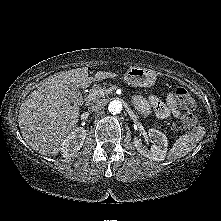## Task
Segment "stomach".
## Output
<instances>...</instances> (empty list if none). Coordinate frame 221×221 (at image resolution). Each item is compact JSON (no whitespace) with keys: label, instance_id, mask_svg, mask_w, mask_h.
Returning <instances> with one entry per match:
<instances>
[{"label":"stomach","instance_id":"1","mask_svg":"<svg viewBox=\"0 0 221 221\" xmlns=\"http://www.w3.org/2000/svg\"><path fill=\"white\" fill-rule=\"evenodd\" d=\"M124 80L134 87H151L156 82V73L146 68L131 66L127 70Z\"/></svg>","mask_w":221,"mask_h":221}]
</instances>
